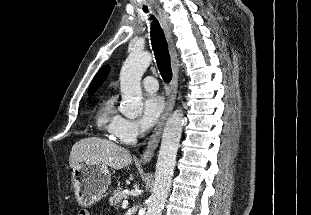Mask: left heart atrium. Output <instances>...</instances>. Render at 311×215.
<instances>
[{
	"mask_svg": "<svg viewBox=\"0 0 311 215\" xmlns=\"http://www.w3.org/2000/svg\"><path fill=\"white\" fill-rule=\"evenodd\" d=\"M164 110V101L160 96H150L143 104L140 124L143 130H149L160 118Z\"/></svg>",
	"mask_w": 311,
	"mask_h": 215,
	"instance_id": "1",
	"label": "left heart atrium"
}]
</instances>
